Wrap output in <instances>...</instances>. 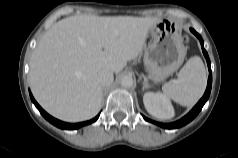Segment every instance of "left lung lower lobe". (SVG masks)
Returning <instances> with one entry per match:
<instances>
[{
	"label": "left lung lower lobe",
	"instance_id": "left-lung-lower-lobe-1",
	"mask_svg": "<svg viewBox=\"0 0 238 158\" xmlns=\"http://www.w3.org/2000/svg\"><path fill=\"white\" fill-rule=\"evenodd\" d=\"M191 32L193 34H195L197 36V38L200 40L201 43V47H202V51L203 54L207 60V64H208V68H209V78H208V83H207V89L205 91L204 96L201 98V100L196 104V106L183 118H181L180 120L174 122V123H170V124H163V123H159V122H155L152 121L146 117H144V119L146 121L152 122L158 126H161L162 128H167V129H173V128H179L182 127L184 125H186L187 123H189L191 120H193L197 114L200 112V110L202 109L203 105L205 104V102L208 100L210 92H211V86H212V72H211V63H210V59L208 57V54L206 52V50L204 49V44H203V39L202 37L193 29H190Z\"/></svg>",
	"mask_w": 238,
	"mask_h": 158
}]
</instances>
